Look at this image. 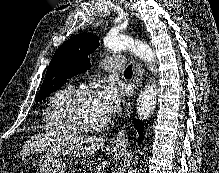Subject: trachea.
Listing matches in <instances>:
<instances>
[{
    "mask_svg": "<svg viewBox=\"0 0 219 173\" xmlns=\"http://www.w3.org/2000/svg\"><path fill=\"white\" fill-rule=\"evenodd\" d=\"M124 74L132 75V64L127 67V69L124 71Z\"/></svg>",
    "mask_w": 219,
    "mask_h": 173,
    "instance_id": "3493384b",
    "label": "trachea"
}]
</instances>
